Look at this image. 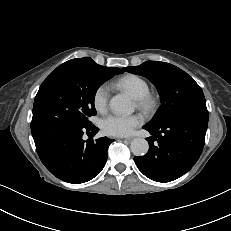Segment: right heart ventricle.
I'll use <instances>...</instances> for the list:
<instances>
[{
	"mask_svg": "<svg viewBox=\"0 0 231 231\" xmlns=\"http://www.w3.org/2000/svg\"><path fill=\"white\" fill-rule=\"evenodd\" d=\"M118 89L128 91L135 99L144 96L149 92L148 82L139 75L127 74L113 82Z\"/></svg>",
	"mask_w": 231,
	"mask_h": 231,
	"instance_id": "obj_1",
	"label": "right heart ventricle"
}]
</instances>
